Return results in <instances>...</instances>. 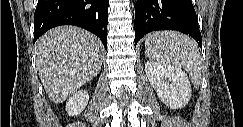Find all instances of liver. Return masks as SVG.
Instances as JSON below:
<instances>
[{
  "mask_svg": "<svg viewBox=\"0 0 243 127\" xmlns=\"http://www.w3.org/2000/svg\"><path fill=\"white\" fill-rule=\"evenodd\" d=\"M39 76L49 99L61 103L99 73L103 47L92 33L60 26L36 42Z\"/></svg>",
  "mask_w": 243,
  "mask_h": 127,
  "instance_id": "6515ba94",
  "label": "liver"
}]
</instances>
